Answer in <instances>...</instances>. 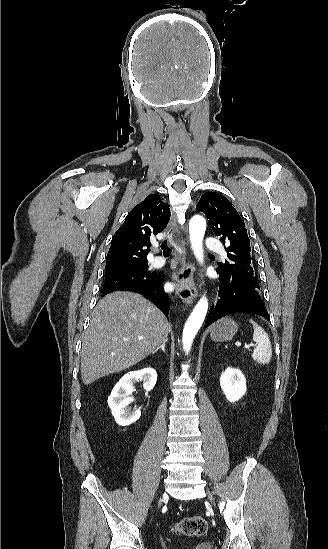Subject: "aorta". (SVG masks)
<instances>
[{
  "instance_id": "762f6f07",
  "label": "aorta",
  "mask_w": 328,
  "mask_h": 549,
  "mask_svg": "<svg viewBox=\"0 0 328 549\" xmlns=\"http://www.w3.org/2000/svg\"><path fill=\"white\" fill-rule=\"evenodd\" d=\"M206 230V221L200 215H195L189 222V234L191 246L197 260L203 263V237ZM208 310V300L203 296L193 309L183 329L182 343L183 349L188 353L192 342L202 326Z\"/></svg>"
}]
</instances>
